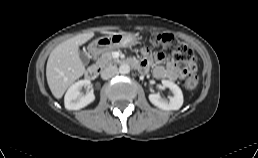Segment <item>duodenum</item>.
Segmentation results:
<instances>
[{
	"instance_id": "1",
	"label": "duodenum",
	"mask_w": 258,
	"mask_h": 158,
	"mask_svg": "<svg viewBox=\"0 0 258 158\" xmlns=\"http://www.w3.org/2000/svg\"><path fill=\"white\" fill-rule=\"evenodd\" d=\"M99 51H100V47L92 46L91 53L93 56H97L99 54ZM124 64H126L130 67H133L135 69L141 68L140 62L136 59H127ZM100 71H101L100 67H98L96 65H91L86 69L85 77L88 80H94L95 78L98 77V75L100 74Z\"/></svg>"
}]
</instances>
